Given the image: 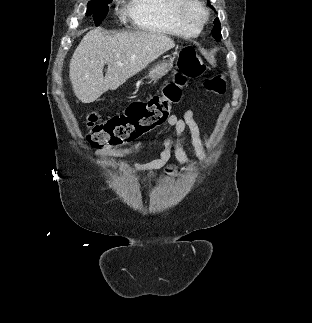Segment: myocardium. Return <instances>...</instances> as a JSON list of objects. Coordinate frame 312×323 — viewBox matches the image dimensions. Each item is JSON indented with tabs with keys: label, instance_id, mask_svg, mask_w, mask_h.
Instances as JSON below:
<instances>
[{
	"label": "myocardium",
	"instance_id": "f54148a6",
	"mask_svg": "<svg viewBox=\"0 0 312 323\" xmlns=\"http://www.w3.org/2000/svg\"><path fill=\"white\" fill-rule=\"evenodd\" d=\"M175 8L170 13L178 17L179 21H187L189 31H200L201 25H205L210 10H206L202 1L198 0H174Z\"/></svg>",
	"mask_w": 312,
	"mask_h": 323
}]
</instances>
